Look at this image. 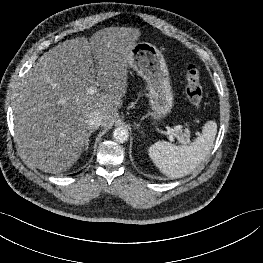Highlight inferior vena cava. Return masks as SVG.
<instances>
[{
  "instance_id": "1",
  "label": "inferior vena cava",
  "mask_w": 263,
  "mask_h": 263,
  "mask_svg": "<svg viewBox=\"0 0 263 263\" xmlns=\"http://www.w3.org/2000/svg\"><path fill=\"white\" fill-rule=\"evenodd\" d=\"M86 123L89 129H97L103 124V116L99 112H91L87 116Z\"/></svg>"
}]
</instances>
